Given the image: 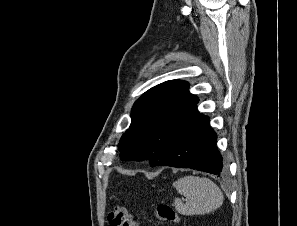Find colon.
Returning <instances> with one entry per match:
<instances>
[{
    "mask_svg": "<svg viewBox=\"0 0 297 226\" xmlns=\"http://www.w3.org/2000/svg\"><path fill=\"white\" fill-rule=\"evenodd\" d=\"M156 216L162 222H178V217L173 208L165 203L156 207ZM108 222L110 226H136L134 216L123 206H116L109 213Z\"/></svg>",
    "mask_w": 297,
    "mask_h": 226,
    "instance_id": "colon-1",
    "label": "colon"
}]
</instances>
